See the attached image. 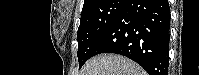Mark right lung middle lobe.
<instances>
[{"instance_id": "right-lung-middle-lobe-1", "label": "right lung middle lobe", "mask_w": 199, "mask_h": 75, "mask_svg": "<svg viewBox=\"0 0 199 75\" xmlns=\"http://www.w3.org/2000/svg\"><path fill=\"white\" fill-rule=\"evenodd\" d=\"M126 2L127 0H105L97 6L82 10L77 32L79 68L93 56L95 46L116 20Z\"/></svg>"}]
</instances>
